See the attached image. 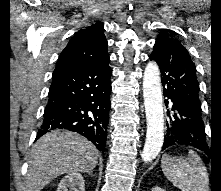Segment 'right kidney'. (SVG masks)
Returning <instances> with one entry per match:
<instances>
[{"label": "right kidney", "mask_w": 221, "mask_h": 191, "mask_svg": "<svg viewBox=\"0 0 221 191\" xmlns=\"http://www.w3.org/2000/svg\"><path fill=\"white\" fill-rule=\"evenodd\" d=\"M85 191V181L80 173H71L65 176L59 183L56 191Z\"/></svg>", "instance_id": "obj_1"}]
</instances>
